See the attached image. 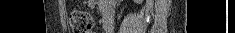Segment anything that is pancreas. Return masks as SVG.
<instances>
[{
  "mask_svg": "<svg viewBox=\"0 0 235 33\" xmlns=\"http://www.w3.org/2000/svg\"><path fill=\"white\" fill-rule=\"evenodd\" d=\"M99 1H100L101 4L104 3V0H99Z\"/></svg>",
  "mask_w": 235,
  "mask_h": 33,
  "instance_id": "obj_1",
  "label": "pancreas"
}]
</instances>
